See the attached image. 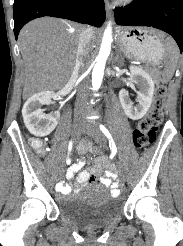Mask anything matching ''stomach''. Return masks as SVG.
Segmentation results:
<instances>
[{
  "label": "stomach",
  "mask_w": 183,
  "mask_h": 246,
  "mask_svg": "<svg viewBox=\"0 0 183 246\" xmlns=\"http://www.w3.org/2000/svg\"><path fill=\"white\" fill-rule=\"evenodd\" d=\"M118 44L125 55L150 64H157L165 54L159 31L147 28H122L117 35Z\"/></svg>",
  "instance_id": "stomach-1"
}]
</instances>
